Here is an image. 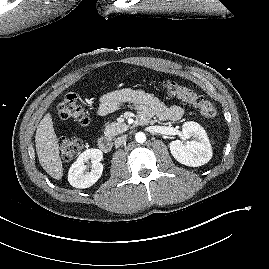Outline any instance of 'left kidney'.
Returning a JSON list of instances; mask_svg holds the SVG:
<instances>
[{"label": "left kidney", "mask_w": 269, "mask_h": 269, "mask_svg": "<svg viewBox=\"0 0 269 269\" xmlns=\"http://www.w3.org/2000/svg\"><path fill=\"white\" fill-rule=\"evenodd\" d=\"M181 136L184 140L194 137L195 140L186 143L175 140L170 143L172 156L181 164L198 167L209 162L212 157V148L207 133L196 122H185Z\"/></svg>", "instance_id": "1"}]
</instances>
